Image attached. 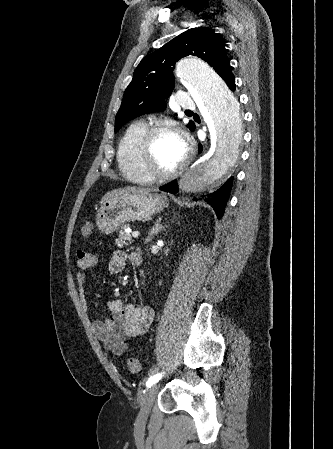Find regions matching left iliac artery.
Masks as SVG:
<instances>
[{
    "mask_svg": "<svg viewBox=\"0 0 333 449\" xmlns=\"http://www.w3.org/2000/svg\"><path fill=\"white\" fill-rule=\"evenodd\" d=\"M162 377V373H157L152 376H150L146 382V387H151L153 384L158 382Z\"/></svg>",
    "mask_w": 333,
    "mask_h": 449,
    "instance_id": "left-iliac-artery-1",
    "label": "left iliac artery"
}]
</instances>
